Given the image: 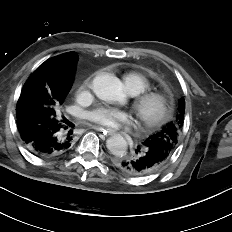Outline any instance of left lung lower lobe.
Here are the masks:
<instances>
[{
    "label": "left lung lower lobe",
    "instance_id": "left-lung-lower-lobe-1",
    "mask_svg": "<svg viewBox=\"0 0 232 232\" xmlns=\"http://www.w3.org/2000/svg\"><path fill=\"white\" fill-rule=\"evenodd\" d=\"M170 154L164 149L148 143H141L135 149L131 159H119L116 166L131 176H146L159 170L169 159Z\"/></svg>",
    "mask_w": 232,
    "mask_h": 232
}]
</instances>
